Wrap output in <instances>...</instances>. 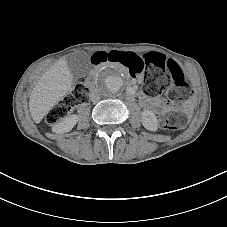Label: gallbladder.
Returning <instances> with one entry per match:
<instances>
[{
  "instance_id": "1",
  "label": "gallbladder",
  "mask_w": 227,
  "mask_h": 227,
  "mask_svg": "<svg viewBox=\"0 0 227 227\" xmlns=\"http://www.w3.org/2000/svg\"><path fill=\"white\" fill-rule=\"evenodd\" d=\"M67 62L75 79L86 77L92 69L90 56L86 52L70 54Z\"/></svg>"
}]
</instances>
